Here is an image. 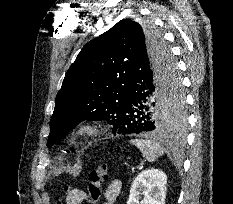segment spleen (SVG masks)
Here are the masks:
<instances>
[{"label": "spleen", "instance_id": "1", "mask_svg": "<svg viewBox=\"0 0 233 204\" xmlns=\"http://www.w3.org/2000/svg\"><path fill=\"white\" fill-rule=\"evenodd\" d=\"M130 143L136 146L145 155L149 162H154L166 151L162 145L152 140L134 139L131 140ZM171 151L174 155H177L178 153L176 148H172Z\"/></svg>", "mask_w": 233, "mask_h": 204}]
</instances>
